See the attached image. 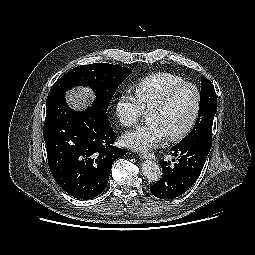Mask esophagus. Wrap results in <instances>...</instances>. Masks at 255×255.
Returning a JSON list of instances; mask_svg holds the SVG:
<instances>
[{
	"label": "esophagus",
	"instance_id": "esophagus-1",
	"mask_svg": "<svg viewBox=\"0 0 255 255\" xmlns=\"http://www.w3.org/2000/svg\"><path fill=\"white\" fill-rule=\"evenodd\" d=\"M142 159H155V155L153 153H141L139 154Z\"/></svg>",
	"mask_w": 255,
	"mask_h": 255
}]
</instances>
